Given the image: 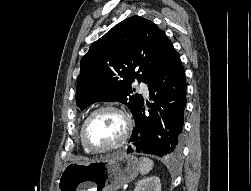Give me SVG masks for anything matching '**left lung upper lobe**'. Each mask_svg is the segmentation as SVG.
<instances>
[{
  "mask_svg": "<svg viewBox=\"0 0 251 191\" xmlns=\"http://www.w3.org/2000/svg\"><path fill=\"white\" fill-rule=\"evenodd\" d=\"M173 45L152 21L139 16L123 20L95 41L80 62L76 104L120 101L134 119L143 97L133 93L134 80L149 83Z\"/></svg>",
  "mask_w": 251,
  "mask_h": 191,
  "instance_id": "obj_1",
  "label": "left lung upper lobe"
}]
</instances>
